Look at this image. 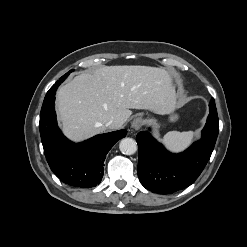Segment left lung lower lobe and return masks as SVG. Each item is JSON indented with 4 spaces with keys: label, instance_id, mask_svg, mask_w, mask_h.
<instances>
[{
    "label": "left lung lower lobe",
    "instance_id": "left-lung-lower-lobe-1",
    "mask_svg": "<svg viewBox=\"0 0 247 247\" xmlns=\"http://www.w3.org/2000/svg\"><path fill=\"white\" fill-rule=\"evenodd\" d=\"M219 126L206 123L202 138L180 154L168 152L149 132L138 133V177L156 193H170L191 185L207 164L218 136Z\"/></svg>",
    "mask_w": 247,
    "mask_h": 247
}]
</instances>
